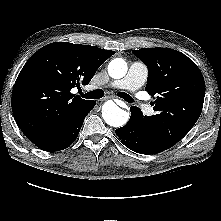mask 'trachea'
<instances>
[{
    "instance_id": "obj_1",
    "label": "trachea",
    "mask_w": 221,
    "mask_h": 221,
    "mask_svg": "<svg viewBox=\"0 0 221 221\" xmlns=\"http://www.w3.org/2000/svg\"><path fill=\"white\" fill-rule=\"evenodd\" d=\"M80 95L86 99H99L104 96V92L101 89H97V90L90 91L86 94L80 93ZM117 95L129 103L134 102V99H132V97L127 93L119 92Z\"/></svg>"
}]
</instances>
